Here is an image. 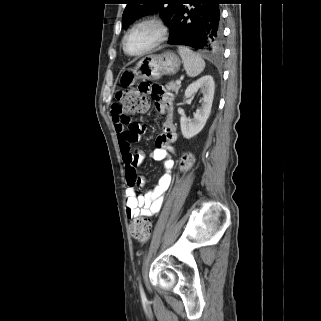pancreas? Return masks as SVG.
<instances>
[{"label": "pancreas", "mask_w": 321, "mask_h": 321, "mask_svg": "<svg viewBox=\"0 0 321 321\" xmlns=\"http://www.w3.org/2000/svg\"><path fill=\"white\" fill-rule=\"evenodd\" d=\"M180 84L170 82L166 85V88L172 92L178 93V90L180 89Z\"/></svg>", "instance_id": "1"}]
</instances>
